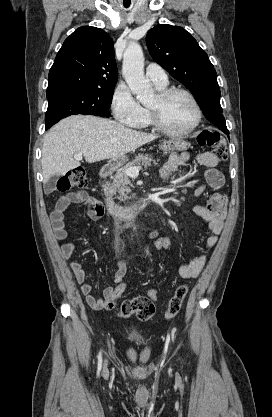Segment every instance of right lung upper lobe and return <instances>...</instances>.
Returning <instances> with one entry per match:
<instances>
[{"label": "right lung upper lobe", "instance_id": "1", "mask_svg": "<svg viewBox=\"0 0 272 417\" xmlns=\"http://www.w3.org/2000/svg\"><path fill=\"white\" fill-rule=\"evenodd\" d=\"M48 82L47 92L115 86L113 40L102 29L78 28L64 41L50 69Z\"/></svg>", "mask_w": 272, "mask_h": 417}]
</instances>
